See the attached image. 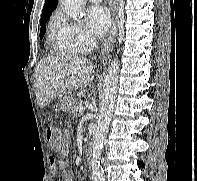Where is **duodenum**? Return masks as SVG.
I'll return each instance as SVG.
<instances>
[{"label":"duodenum","mask_w":197,"mask_h":181,"mask_svg":"<svg viewBox=\"0 0 197 181\" xmlns=\"http://www.w3.org/2000/svg\"><path fill=\"white\" fill-rule=\"evenodd\" d=\"M85 155L87 159H90L92 156V148L90 145H87L85 148Z\"/></svg>","instance_id":"1"}]
</instances>
